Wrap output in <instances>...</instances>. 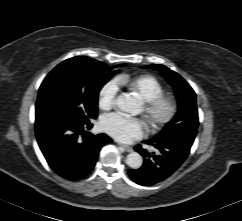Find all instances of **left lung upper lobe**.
<instances>
[{"instance_id":"1","label":"left lung upper lobe","mask_w":242,"mask_h":221,"mask_svg":"<svg viewBox=\"0 0 242 221\" xmlns=\"http://www.w3.org/2000/svg\"><path fill=\"white\" fill-rule=\"evenodd\" d=\"M150 67L159 70L174 87L178 101V112L175 118L167 123L163 130L152 139H195L199 124L195 92L179 74L164 65L152 64Z\"/></svg>"}]
</instances>
